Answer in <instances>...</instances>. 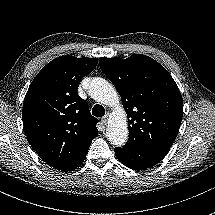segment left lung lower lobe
Listing matches in <instances>:
<instances>
[{
	"label": "left lung lower lobe",
	"instance_id": "obj_1",
	"mask_svg": "<svg viewBox=\"0 0 215 215\" xmlns=\"http://www.w3.org/2000/svg\"><path fill=\"white\" fill-rule=\"evenodd\" d=\"M168 151L169 149L139 150L126 146L115 148L118 160L134 170H144L156 165L166 156Z\"/></svg>",
	"mask_w": 215,
	"mask_h": 215
}]
</instances>
